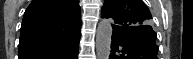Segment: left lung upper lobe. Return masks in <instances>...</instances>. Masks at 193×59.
I'll list each match as a JSON object with an SVG mask.
<instances>
[{
    "label": "left lung upper lobe",
    "instance_id": "left-lung-upper-lobe-1",
    "mask_svg": "<svg viewBox=\"0 0 193 59\" xmlns=\"http://www.w3.org/2000/svg\"><path fill=\"white\" fill-rule=\"evenodd\" d=\"M102 17L112 18L116 26L131 30L150 26L152 19L149 9L141 0H105Z\"/></svg>",
    "mask_w": 193,
    "mask_h": 59
}]
</instances>
